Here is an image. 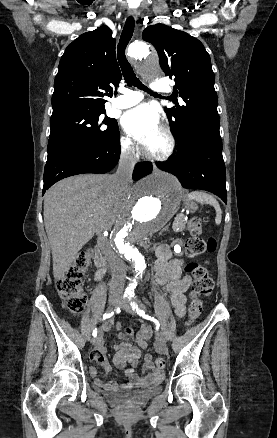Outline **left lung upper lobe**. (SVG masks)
I'll use <instances>...</instances> for the list:
<instances>
[{
  "label": "left lung upper lobe",
  "mask_w": 277,
  "mask_h": 438,
  "mask_svg": "<svg viewBox=\"0 0 277 438\" xmlns=\"http://www.w3.org/2000/svg\"><path fill=\"white\" fill-rule=\"evenodd\" d=\"M142 38L154 45L161 68L166 76L174 77V90H179L184 101L165 109L179 148L204 116L219 118L210 56L198 39L164 24L147 27Z\"/></svg>",
  "instance_id": "left-lung-upper-lobe-1"
}]
</instances>
